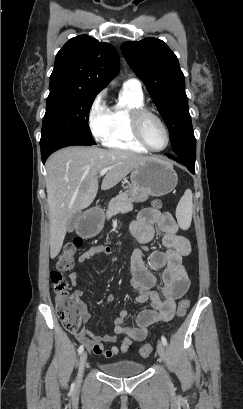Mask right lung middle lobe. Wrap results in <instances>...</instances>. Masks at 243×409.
<instances>
[{"mask_svg":"<svg viewBox=\"0 0 243 409\" xmlns=\"http://www.w3.org/2000/svg\"><path fill=\"white\" fill-rule=\"evenodd\" d=\"M96 95L62 84H50L41 141L54 134H71L93 140L88 126V116Z\"/></svg>","mask_w":243,"mask_h":409,"instance_id":"obj_1","label":"right lung middle lobe"}]
</instances>
